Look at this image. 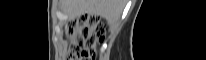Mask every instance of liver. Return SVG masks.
I'll use <instances>...</instances> for the list:
<instances>
[{"label": "liver", "mask_w": 206, "mask_h": 60, "mask_svg": "<svg viewBox=\"0 0 206 60\" xmlns=\"http://www.w3.org/2000/svg\"><path fill=\"white\" fill-rule=\"evenodd\" d=\"M62 4L72 19L83 14L96 15L109 25L117 21L124 8L123 0H62Z\"/></svg>", "instance_id": "6515ba94"}]
</instances>
